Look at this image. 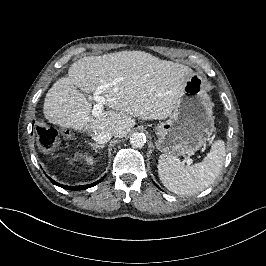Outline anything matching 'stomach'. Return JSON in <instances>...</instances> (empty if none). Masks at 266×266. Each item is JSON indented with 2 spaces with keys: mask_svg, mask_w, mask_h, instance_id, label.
<instances>
[{
  "mask_svg": "<svg viewBox=\"0 0 266 266\" xmlns=\"http://www.w3.org/2000/svg\"><path fill=\"white\" fill-rule=\"evenodd\" d=\"M213 103L203 88L200 75L193 73L185 82L165 122L155 127L157 149L171 156L191 154L199 150L214 131Z\"/></svg>",
  "mask_w": 266,
  "mask_h": 266,
  "instance_id": "0dacf381",
  "label": "stomach"
}]
</instances>
